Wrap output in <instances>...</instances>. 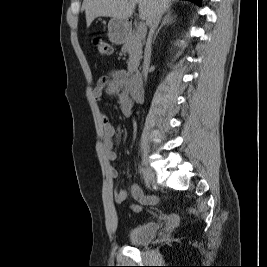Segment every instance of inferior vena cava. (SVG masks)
Segmentation results:
<instances>
[{
    "mask_svg": "<svg viewBox=\"0 0 267 267\" xmlns=\"http://www.w3.org/2000/svg\"><path fill=\"white\" fill-rule=\"evenodd\" d=\"M161 15H162L161 12H158L156 15H154L150 23V31L146 42V47L144 52V63H143V77L145 81L147 78L148 68L150 63L152 39L154 36V32L160 22Z\"/></svg>",
    "mask_w": 267,
    "mask_h": 267,
    "instance_id": "1",
    "label": "inferior vena cava"
}]
</instances>
